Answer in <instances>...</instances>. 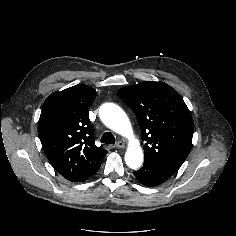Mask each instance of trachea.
Here are the masks:
<instances>
[{
	"label": "trachea",
	"mask_w": 236,
	"mask_h": 236,
	"mask_svg": "<svg viewBox=\"0 0 236 236\" xmlns=\"http://www.w3.org/2000/svg\"><path fill=\"white\" fill-rule=\"evenodd\" d=\"M101 142L106 144H115V137L111 132H105L101 137Z\"/></svg>",
	"instance_id": "1"
}]
</instances>
